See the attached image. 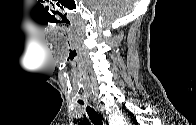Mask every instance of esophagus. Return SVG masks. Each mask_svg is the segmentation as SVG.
I'll use <instances>...</instances> for the list:
<instances>
[{"instance_id": "34e87169", "label": "esophagus", "mask_w": 196, "mask_h": 125, "mask_svg": "<svg viewBox=\"0 0 196 125\" xmlns=\"http://www.w3.org/2000/svg\"><path fill=\"white\" fill-rule=\"evenodd\" d=\"M96 107L98 108V106H96ZM98 110H99V108H98ZM103 119H104V122H103L104 125H110V124H109V121H108V117H107V115L104 114V113H103Z\"/></svg>"}]
</instances>
